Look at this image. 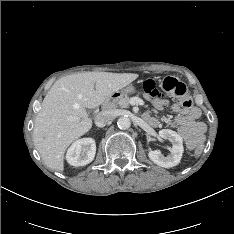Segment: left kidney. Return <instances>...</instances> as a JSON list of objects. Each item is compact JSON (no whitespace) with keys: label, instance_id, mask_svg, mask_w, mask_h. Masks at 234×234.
Here are the masks:
<instances>
[{"label":"left kidney","instance_id":"obj_1","mask_svg":"<svg viewBox=\"0 0 234 234\" xmlns=\"http://www.w3.org/2000/svg\"><path fill=\"white\" fill-rule=\"evenodd\" d=\"M159 136L172 143L171 154L165 157L160 150H150L148 153L150 160L165 168H171L178 165L184 151L182 137L170 129L160 130Z\"/></svg>","mask_w":234,"mask_h":234}]
</instances>
